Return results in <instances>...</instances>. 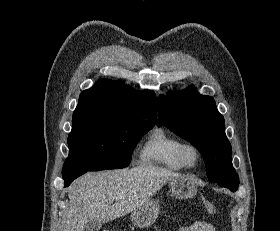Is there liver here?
Segmentation results:
<instances>
[{
  "mask_svg": "<svg viewBox=\"0 0 280 231\" xmlns=\"http://www.w3.org/2000/svg\"><path fill=\"white\" fill-rule=\"evenodd\" d=\"M178 175L177 171L154 165L88 171L68 187L70 203L62 219V231H83L91 219L111 221L126 215Z\"/></svg>",
  "mask_w": 280,
  "mask_h": 231,
  "instance_id": "1",
  "label": "liver"
}]
</instances>
